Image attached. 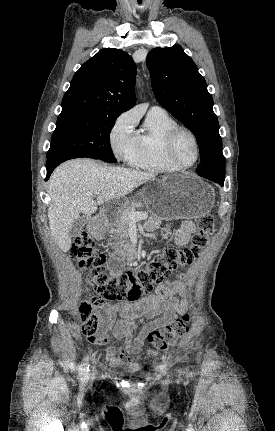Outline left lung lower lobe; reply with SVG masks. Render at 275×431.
<instances>
[{
    "mask_svg": "<svg viewBox=\"0 0 275 431\" xmlns=\"http://www.w3.org/2000/svg\"><path fill=\"white\" fill-rule=\"evenodd\" d=\"M202 177H204V178H207V179H209V180H212V181H214V182H217V183H219L221 186H223L224 185V176H221V175H219V174H209V175H204V176H202Z\"/></svg>",
    "mask_w": 275,
    "mask_h": 431,
    "instance_id": "obj_1",
    "label": "left lung lower lobe"
}]
</instances>
